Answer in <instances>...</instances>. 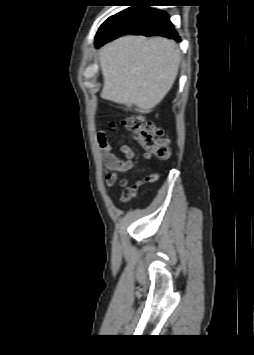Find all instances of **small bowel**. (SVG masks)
Segmentation results:
<instances>
[{"instance_id":"c3829d8e","label":"small bowel","mask_w":254,"mask_h":355,"mask_svg":"<svg viewBox=\"0 0 254 355\" xmlns=\"http://www.w3.org/2000/svg\"><path fill=\"white\" fill-rule=\"evenodd\" d=\"M110 128L115 127V123L109 124ZM99 152L105 166V183L108 187L119 183L123 188L121 194V201L127 202L135 197L138 188L145 183H152L159 180V174H151L144 177L142 180L136 182L133 185H129L126 178L121 177V173L130 172L134 166V152L127 145H119V151L124 154L125 159L119 158L113 151L111 145L107 140L106 133L100 131L96 136ZM149 160L150 158L144 157ZM134 191V194L131 192Z\"/></svg>"}]
</instances>
